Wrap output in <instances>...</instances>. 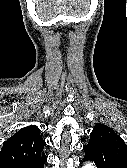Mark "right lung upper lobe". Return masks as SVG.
<instances>
[{
  "instance_id": "obj_1",
  "label": "right lung upper lobe",
  "mask_w": 127,
  "mask_h": 168,
  "mask_svg": "<svg viewBox=\"0 0 127 168\" xmlns=\"http://www.w3.org/2000/svg\"><path fill=\"white\" fill-rule=\"evenodd\" d=\"M38 127L29 126L21 129L4 142L0 151V164L4 162L41 161L46 158Z\"/></svg>"
}]
</instances>
